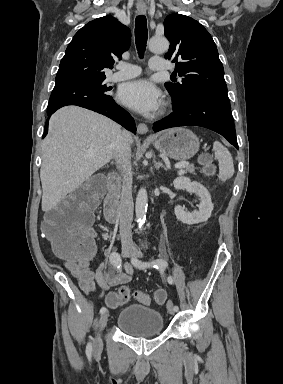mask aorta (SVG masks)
I'll use <instances>...</instances> for the list:
<instances>
[{
	"label": "aorta",
	"instance_id": "obj_1",
	"mask_svg": "<svg viewBox=\"0 0 283 384\" xmlns=\"http://www.w3.org/2000/svg\"><path fill=\"white\" fill-rule=\"evenodd\" d=\"M169 48V42L164 37H153L149 41V50L153 53H164ZM148 195L145 188H140L136 197L135 212L137 222L141 226L146 219Z\"/></svg>",
	"mask_w": 283,
	"mask_h": 384
}]
</instances>
